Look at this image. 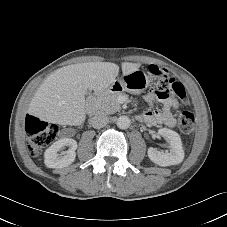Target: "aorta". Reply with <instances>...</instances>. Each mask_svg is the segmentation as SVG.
I'll return each mask as SVG.
<instances>
[{"mask_svg":"<svg viewBox=\"0 0 227 227\" xmlns=\"http://www.w3.org/2000/svg\"><path fill=\"white\" fill-rule=\"evenodd\" d=\"M131 124L130 118L127 116H120L117 121L116 125L120 129H127Z\"/></svg>","mask_w":227,"mask_h":227,"instance_id":"obj_1","label":"aorta"}]
</instances>
